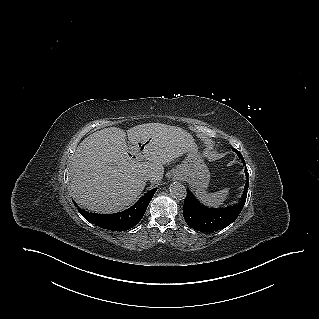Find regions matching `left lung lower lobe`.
<instances>
[{"label":"left lung lower lobe","instance_id":"left-lung-lower-lobe-1","mask_svg":"<svg viewBox=\"0 0 319 319\" xmlns=\"http://www.w3.org/2000/svg\"><path fill=\"white\" fill-rule=\"evenodd\" d=\"M246 166L245 161L242 160ZM247 181L245 184L244 193L239 201L234 206L226 208L210 209L201 205L187 189V196L184 200L183 216L186 223L193 229L201 232H213L223 229L230 225L240 214L246 202L247 189L249 185V174L245 169Z\"/></svg>","mask_w":319,"mask_h":319}]
</instances>
